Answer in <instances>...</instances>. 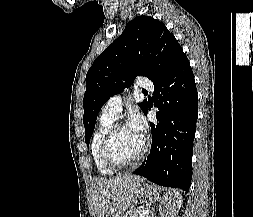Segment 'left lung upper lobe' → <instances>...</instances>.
<instances>
[{"label":"left lung upper lobe","mask_w":253,"mask_h":217,"mask_svg":"<svg viewBox=\"0 0 253 217\" xmlns=\"http://www.w3.org/2000/svg\"><path fill=\"white\" fill-rule=\"evenodd\" d=\"M183 53L166 26L150 16L130 21L122 35L98 56L86 75L84 95L85 142L94 131L97 115L113 95L129 87L138 75L159 79ZM143 112L148 104L138 103Z\"/></svg>","instance_id":"1"}]
</instances>
